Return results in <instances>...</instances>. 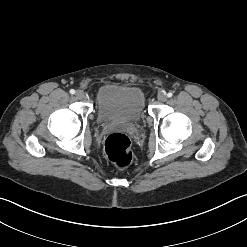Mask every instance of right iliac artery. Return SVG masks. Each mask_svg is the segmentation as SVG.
Here are the masks:
<instances>
[{
	"label": "right iliac artery",
	"mask_w": 247,
	"mask_h": 247,
	"mask_svg": "<svg viewBox=\"0 0 247 247\" xmlns=\"http://www.w3.org/2000/svg\"><path fill=\"white\" fill-rule=\"evenodd\" d=\"M70 94H72V95L75 94V90L74 89H71L70 90Z\"/></svg>",
	"instance_id": "right-iliac-artery-1"
}]
</instances>
